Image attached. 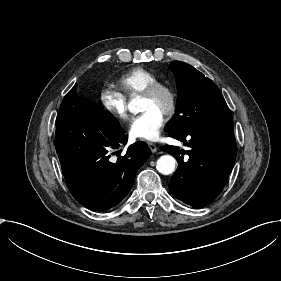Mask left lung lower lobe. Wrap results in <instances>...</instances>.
Segmentation results:
<instances>
[{
  "instance_id": "1",
  "label": "left lung lower lobe",
  "mask_w": 281,
  "mask_h": 281,
  "mask_svg": "<svg viewBox=\"0 0 281 281\" xmlns=\"http://www.w3.org/2000/svg\"><path fill=\"white\" fill-rule=\"evenodd\" d=\"M172 136L184 141L191 150L187 151L189 159L184 162V150L170 145L161 148L178 161V168L169 183L170 191L184 203L202 208L221 193L234 166L237 146L233 122L196 128ZM186 139L190 140L187 142Z\"/></svg>"
}]
</instances>
